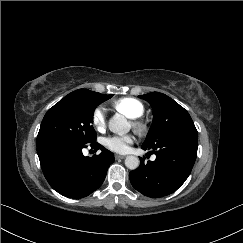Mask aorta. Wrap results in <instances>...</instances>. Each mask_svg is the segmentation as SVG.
I'll return each mask as SVG.
<instances>
[{
  "mask_svg": "<svg viewBox=\"0 0 243 243\" xmlns=\"http://www.w3.org/2000/svg\"><path fill=\"white\" fill-rule=\"evenodd\" d=\"M109 130L115 134L124 135L129 132L130 124L123 115L115 114L109 120ZM139 164V158L136 156H127L125 159V165L130 170H135Z\"/></svg>",
  "mask_w": 243,
  "mask_h": 243,
  "instance_id": "762f6f07",
  "label": "aorta"
}]
</instances>
